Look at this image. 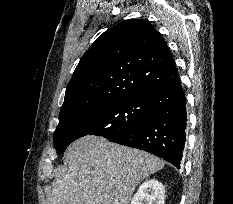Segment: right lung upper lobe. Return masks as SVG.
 <instances>
[{
  "label": "right lung upper lobe",
  "instance_id": "cb5924a9",
  "mask_svg": "<svg viewBox=\"0 0 233 204\" xmlns=\"http://www.w3.org/2000/svg\"><path fill=\"white\" fill-rule=\"evenodd\" d=\"M176 72L164 38L150 23L122 21L97 38L81 58L67 85L57 128L107 103L150 95Z\"/></svg>",
  "mask_w": 233,
  "mask_h": 204
}]
</instances>
